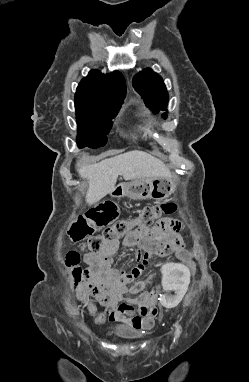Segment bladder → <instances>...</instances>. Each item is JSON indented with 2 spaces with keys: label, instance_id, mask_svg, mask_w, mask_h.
I'll list each match as a JSON object with an SVG mask.
<instances>
[{
  "label": "bladder",
  "instance_id": "1",
  "mask_svg": "<svg viewBox=\"0 0 249 382\" xmlns=\"http://www.w3.org/2000/svg\"><path fill=\"white\" fill-rule=\"evenodd\" d=\"M107 333L120 340L132 341L142 337L140 330L131 327L114 326L107 329Z\"/></svg>",
  "mask_w": 249,
  "mask_h": 382
}]
</instances>
